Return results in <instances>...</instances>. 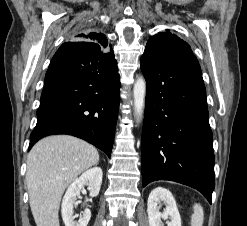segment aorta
<instances>
[{"label":"aorta","instance_id":"762f6f07","mask_svg":"<svg viewBox=\"0 0 247 226\" xmlns=\"http://www.w3.org/2000/svg\"><path fill=\"white\" fill-rule=\"evenodd\" d=\"M146 81L144 77H138L133 87L134 115L140 121L145 106Z\"/></svg>","mask_w":247,"mask_h":226}]
</instances>
